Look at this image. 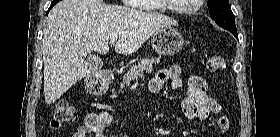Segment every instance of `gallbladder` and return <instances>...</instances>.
Wrapping results in <instances>:
<instances>
[{
  "mask_svg": "<svg viewBox=\"0 0 280 137\" xmlns=\"http://www.w3.org/2000/svg\"><path fill=\"white\" fill-rule=\"evenodd\" d=\"M85 64L90 68L91 71L93 72H97L100 71L102 66H103V62L99 57L96 56H90L86 59Z\"/></svg>",
  "mask_w": 280,
  "mask_h": 137,
  "instance_id": "obj_1",
  "label": "gallbladder"
}]
</instances>
